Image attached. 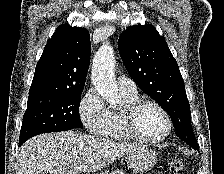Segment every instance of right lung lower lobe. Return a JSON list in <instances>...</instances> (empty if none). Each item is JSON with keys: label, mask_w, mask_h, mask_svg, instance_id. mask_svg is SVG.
<instances>
[{"label": "right lung lower lobe", "mask_w": 224, "mask_h": 174, "mask_svg": "<svg viewBox=\"0 0 224 174\" xmlns=\"http://www.w3.org/2000/svg\"><path fill=\"white\" fill-rule=\"evenodd\" d=\"M26 140H19L20 145L23 144Z\"/></svg>", "instance_id": "1"}]
</instances>
